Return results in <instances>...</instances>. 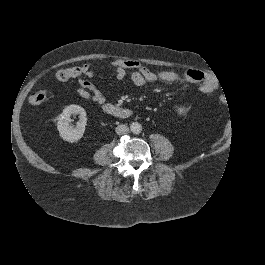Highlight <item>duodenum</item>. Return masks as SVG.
<instances>
[{
	"label": "duodenum",
	"mask_w": 265,
	"mask_h": 265,
	"mask_svg": "<svg viewBox=\"0 0 265 265\" xmlns=\"http://www.w3.org/2000/svg\"><path fill=\"white\" fill-rule=\"evenodd\" d=\"M102 108L106 113L119 118H128L132 115V111L130 109L122 108L109 103L104 104Z\"/></svg>",
	"instance_id": "1"
}]
</instances>
